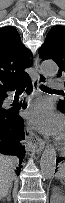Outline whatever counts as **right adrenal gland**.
I'll return each instance as SVG.
<instances>
[{
    "instance_id": "right-adrenal-gland-1",
    "label": "right adrenal gland",
    "mask_w": 65,
    "mask_h": 203,
    "mask_svg": "<svg viewBox=\"0 0 65 203\" xmlns=\"http://www.w3.org/2000/svg\"><path fill=\"white\" fill-rule=\"evenodd\" d=\"M3 202L4 201H8V202H10L11 201V189H10V191H9V193H8V195L5 197V199L3 198V200H2Z\"/></svg>"
}]
</instances>
